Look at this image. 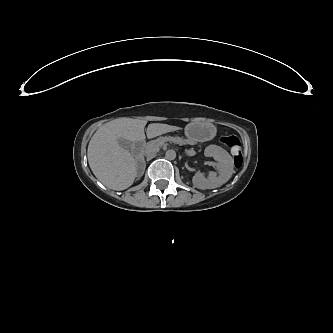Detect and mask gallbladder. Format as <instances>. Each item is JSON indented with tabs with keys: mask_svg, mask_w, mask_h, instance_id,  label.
Listing matches in <instances>:
<instances>
[{
	"mask_svg": "<svg viewBox=\"0 0 333 333\" xmlns=\"http://www.w3.org/2000/svg\"><path fill=\"white\" fill-rule=\"evenodd\" d=\"M120 146L126 150L133 151L135 144L129 140H119Z\"/></svg>",
	"mask_w": 333,
	"mask_h": 333,
	"instance_id": "obj_1",
	"label": "gallbladder"
}]
</instances>
